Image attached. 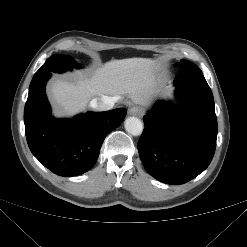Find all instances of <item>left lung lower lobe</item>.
I'll list each match as a JSON object with an SVG mask.
<instances>
[{"instance_id": "0a47b994", "label": "left lung lower lobe", "mask_w": 247, "mask_h": 247, "mask_svg": "<svg viewBox=\"0 0 247 247\" xmlns=\"http://www.w3.org/2000/svg\"><path fill=\"white\" fill-rule=\"evenodd\" d=\"M179 104L159 102L144 118L140 158L155 179L184 184L210 164L217 138L214 99L207 83L175 85Z\"/></svg>"}]
</instances>
